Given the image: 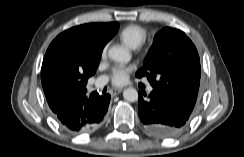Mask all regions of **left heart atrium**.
Here are the masks:
<instances>
[{"mask_svg":"<svg viewBox=\"0 0 244 157\" xmlns=\"http://www.w3.org/2000/svg\"><path fill=\"white\" fill-rule=\"evenodd\" d=\"M131 69H132L131 66H126V65L116 66L112 72V77H111L112 83L116 86H120L124 84L128 79V75Z\"/></svg>","mask_w":244,"mask_h":157,"instance_id":"39dd6f15","label":"left heart atrium"}]
</instances>
